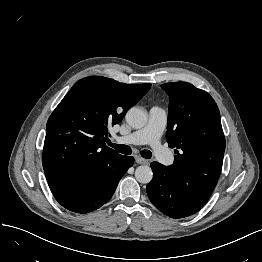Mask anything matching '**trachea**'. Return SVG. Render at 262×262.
Returning <instances> with one entry per match:
<instances>
[{"label":"trachea","instance_id":"trachea-1","mask_svg":"<svg viewBox=\"0 0 262 262\" xmlns=\"http://www.w3.org/2000/svg\"><path fill=\"white\" fill-rule=\"evenodd\" d=\"M107 143L122 154L130 155L132 153V150L128 145L115 144L110 141H107ZM140 153L143 158L150 159L152 157V153L149 150H142Z\"/></svg>","mask_w":262,"mask_h":262}]
</instances>
